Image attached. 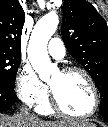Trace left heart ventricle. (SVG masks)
<instances>
[{
  "label": "left heart ventricle",
  "instance_id": "1",
  "mask_svg": "<svg viewBox=\"0 0 108 127\" xmlns=\"http://www.w3.org/2000/svg\"><path fill=\"white\" fill-rule=\"evenodd\" d=\"M62 107L72 114H85L93 105V94L86 79L79 73L57 72L49 81Z\"/></svg>",
  "mask_w": 108,
  "mask_h": 127
}]
</instances>
